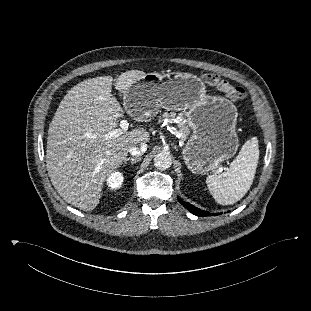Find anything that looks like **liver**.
I'll list each match as a JSON object with an SVG mask.
<instances>
[{
  "label": "liver",
  "instance_id": "1",
  "mask_svg": "<svg viewBox=\"0 0 311 311\" xmlns=\"http://www.w3.org/2000/svg\"><path fill=\"white\" fill-rule=\"evenodd\" d=\"M144 75L140 70L119 75L114 83L119 95L124 98ZM112 84V76H101L75 85L60 102L48 129L46 167L50 180L66 202L87 212L98 205L105 179L126 160L130 148L150 140L143 127L106 137L124 113L111 93Z\"/></svg>",
  "mask_w": 311,
  "mask_h": 311
}]
</instances>
